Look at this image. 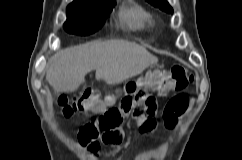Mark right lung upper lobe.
<instances>
[{"instance_id":"right-lung-upper-lobe-1","label":"right lung upper lobe","mask_w":242,"mask_h":160,"mask_svg":"<svg viewBox=\"0 0 242 160\" xmlns=\"http://www.w3.org/2000/svg\"><path fill=\"white\" fill-rule=\"evenodd\" d=\"M95 1H107V0H75L70 5H85Z\"/></svg>"}]
</instances>
